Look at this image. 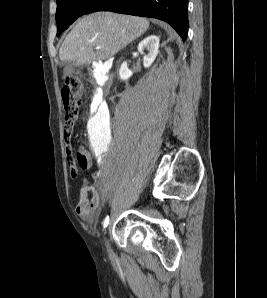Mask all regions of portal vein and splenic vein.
Listing matches in <instances>:
<instances>
[{
    "mask_svg": "<svg viewBox=\"0 0 267 298\" xmlns=\"http://www.w3.org/2000/svg\"><path fill=\"white\" fill-rule=\"evenodd\" d=\"M100 49V47H96V50H99Z\"/></svg>",
    "mask_w": 267,
    "mask_h": 298,
    "instance_id": "portal-vein-and-splenic-vein-1",
    "label": "portal vein and splenic vein"
}]
</instances>
